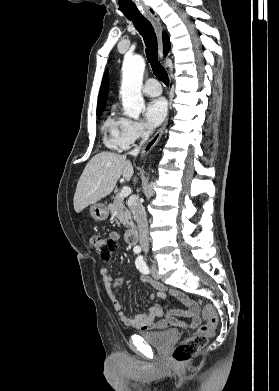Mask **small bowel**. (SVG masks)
Instances as JSON below:
<instances>
[{
    "instance_id": "obj_1",
    "label": "small bowel",
    "mask_w": 279,
    "mask_h": 391,
    "mask_svg": "<svg viewBox=\"0 0 279 391\" xmlns=\"http://www.w3.org/2000/svg\"><path fill=\"white\" fill-rule=\"evenodd\" d=\"M109 237L113 240H118L120 235L118 232H111ZM102 282L108 296L111 299L112 305L117 312L120 321L127 327L136 330H152V329H167V328H183L192 329L201 323L200 309L196 302L188 298L184 293L177 290H168L161 283L151 279L150 277H142V282L151 285L158 290L160 296L164 297L167 294L178 300L185 306L184 310H171L167 313L166 319L154 322L156 318H161L164 315L160 305H155L143 313L134 312L132 316H127L122 310L119 300L116 298L114 289L117 285L124 283V277L116 278L106 269L100 270ZM184 317L185 319L181 318Z\"/></svg>"
}]
</instances>
